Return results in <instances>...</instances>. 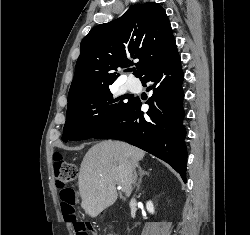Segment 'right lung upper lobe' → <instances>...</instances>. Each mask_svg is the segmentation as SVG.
<instances>
[{"label":"right lung upper lobe","instance_id":"cb5924a9","mask_svg":"<svg viewBox=\"0 0 250 235\" xmlns=\"http://www.w3.org/2000/svg\"><path fill=\"white\" fill-rule=\"evenodd\" d=\"M175 40L165 10L157 3L131 6L122 17L100 24L81 41L68 103L78 97L112 84L118 67L136 63V77L162 59Z\"/></svg>","mask_w":250,"mask_h":235}]
</instances>
